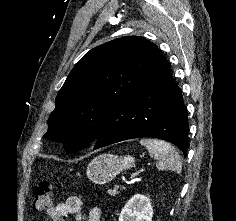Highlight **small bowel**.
<instances>
[{
	"instance_id": "obj_1",
	"label": "small bowel",
	"mask_w": 236,
	"mask_h": 221,
	"mask_svg": "<svg viewBox=\"0 0 236 221\" xmlns=\"http://www.w3.org/2000/svg\"><path fill=\"white\" fill-rule=\"evenodd\" d=\"M82 207V199L79 196L72 195L59 202L56 206L50 207L47 210V214L53 221H65V218L69 215H74L77 221H82L84 219ZM100 218L101 209L93 207L89 211L86 221H100Z\"/></svg>"
}]
</instances>
